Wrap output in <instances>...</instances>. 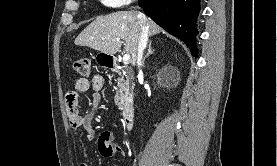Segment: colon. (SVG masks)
<instances>
[{
	"mask_svg": "<svg viewBox=\"0 0 277 166\" xmlns=\"http://www.w3.org/2000/svg\"><path fill=\"white\" fill-rule=\"evenodd\" d=\"M74 69L81 76H88L90 73V61L88 58H78L74 61Z\"/></svg>",
	"mask_w": 277,
	"mask_h": 166,
	"instance_id": "colon-1",
	"label": "colon"
}]
</instances>
